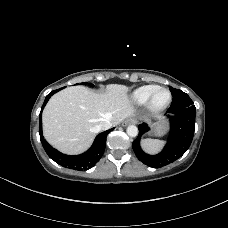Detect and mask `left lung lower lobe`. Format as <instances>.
<instances>
[{
  "label": "left lung lower lobe",
  "mask_w": 228,
  "mask_h": 228,
  "mask_svg": "<svg viewBox=\"0 0 228 228\" xmlns=\"http://www.w3.org/2000/svg\"><path fill=\"white\" fill-rule=\"evenodd\" d=\"M196 108L192 100L187 95L183 98H173L172 104L168 109L170 119V136L167 144L161 153L148 155L140 147V139L144 133L149 131L147 124L138 126L139 136L133 141L132 147L137 158L153 168H160L168 165L180 158L190 147L195 130Z\"/></svg>",
  "instance_id": "0a47b994"
}]
</instances>
